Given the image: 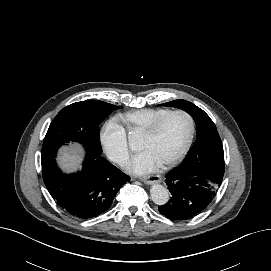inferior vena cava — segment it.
I'll list each match as a JSON object with an SVG mask.
<instances>
[{"instance_id": "obj_1", "label": "inferior vena cava", "mask_w": 271, "mask_h": 271, "mask_svg": "<svg viewBox=\"0 0 271 271\" xmlns=\"http://www.w3.org/2000/svg\"><path fill=\"white\" fill-rule=\"evenodd\" d=\"M116 161L121 165H125L128 161V157L127 156L119 157L116 159Z\"/></svg>"}]
</instances>
